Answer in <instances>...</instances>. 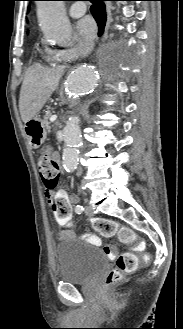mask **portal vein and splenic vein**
<instances>
[{"mask_svg":"<svg viewBox=\"0 0 183 329\" xmlns=\"http://www.w3.org/2000/svg\"><path fill=\"white\" fill-rule=\"evenodd\" d=\"M56 119H57V116H56V115H52V116L50 117V121H51V122L55 121Z\"/></svg>","mask_w":183,"mask_h":329,"instance_id":"18ae733b","label":"portal vein and splenic vein"}]
</instances>
